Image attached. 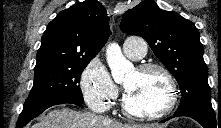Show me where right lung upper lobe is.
Returning a JSON list of instances; mask_svg holds the SVG:
<instances>
[{
    "label": "right lung upper lobe",
    "mask_w": 221,
    "mask_h": 128,
    "mask_svg": "<svg viewBox=\"0 0 221 128\" xmlns=\"http://www.w3.org/2000/svg\"><path fill=\"white\" fill-rule=\"evenodd\" d=\"M108 17L97 0H86L59 12L41 39L35 70L92 60L110 36Z\"/></svg>",
    "instance_id": "right-lung-upper-lobe-1"
}]
</instances>
